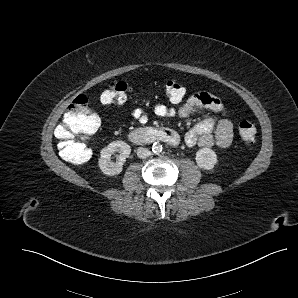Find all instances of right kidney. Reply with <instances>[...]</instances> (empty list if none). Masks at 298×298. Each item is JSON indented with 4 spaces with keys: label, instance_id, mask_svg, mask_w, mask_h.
<instances>
[{
    "label": "right kidney",
    "instance_id": "ca27d5eb",
    "mask_svg": "<svg viewBox=\"0 0 298 298\" xmlns=\"http://www.w3.org/2000/svg\"><path fill=\"white\" fill-rule=\"evenodd\" d=\"M115 153H119V155L117 156V161L113 162L111 156ZM130 153V145L124 141H113L101 150L98 165L105 175L113 176L120 174L123 169V164Z\"/></svg>",
    "mask_w": 298,
    "mask_h": 298
}]
</instances>
